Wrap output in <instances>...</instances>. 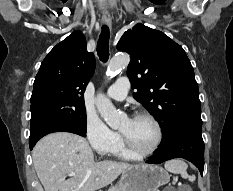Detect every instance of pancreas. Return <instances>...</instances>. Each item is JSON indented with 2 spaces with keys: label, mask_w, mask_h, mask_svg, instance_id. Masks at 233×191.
<instances>
[{
  "label": "pancreas",
  "mask_w": 233,
  "mask_h": 191,
  "mask_svg": "<svg viewBox=\"0 0 233 191\" xmlns=\"http://www.w3.org/2000/svg\"><path fill=\"white\" fill-rule=\"evenodd\" d=\"M108 191H124V190L119 188L118 186H115V187L110 188ZM172 191H176V190H172Z\"/></svg>",
  "instance_id": "obj_1"
}]
</instances>
